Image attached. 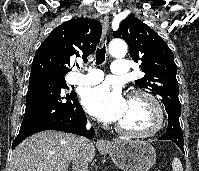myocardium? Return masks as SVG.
I'll use <instances>...</instances> for the list:
<instances>
[{"label": "myocardium", "instance_id": "f54148a6", "mask_svg": "<svg viewBox=\"0 0 199 171\" xmlns=\"http://www.w3.org/2000/svg\"><path fill=\"white\" fill-rule=\"evenodd\" d=\"M134 97H141L148 102L153 113V124L145 130H129L116 124V131L121 135L132 138H147L154 136L162 129L164 124V112L160 102L153 94L142 89L132 90L127 95V99H132Z\"/></svg>", "mask_w": 199, "mask_h": 171}]
</instances>
